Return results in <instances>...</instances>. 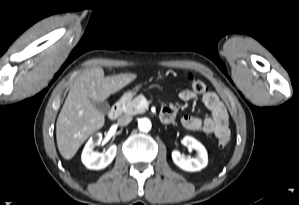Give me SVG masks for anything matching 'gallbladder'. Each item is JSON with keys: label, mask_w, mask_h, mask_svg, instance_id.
<instances>
[{"label": "gallbladder", "mask_w": 299, "mask_h": 205, "mask_svg": "<svg viewBox=\"0 0 299 205\" xmlns=\"http://www.w3.org/2000/svg\"><path fill=\"white\" fill-rule=\"evenodd\" d=\"M94 106L98 111H100L103 114H108L110 111V105L108 102L103 101V102H93Z\"/></svg>", "instance_id": "1"}]
</instances>
